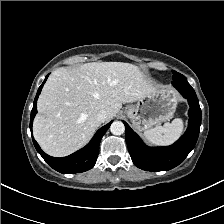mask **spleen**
Here are the masks:
<instances>
[{
	"label": "spleen",
	"instance_id": "obj_1",
	"mask_svg": "<svg viewBox=\"0 0 224 224\" xmlns=\"http://www.w3.org/2000/svg\"><path fill=\"white\" fill-rule=\"evenodd\" d=\"M184 124L180 118H175L171 123L156 126L143 133L144 138L155 145H168L176 141L183 133Z\"/></svg>",
	"mask_w": 224,
	"mask_h": 224
}]
</instances>
